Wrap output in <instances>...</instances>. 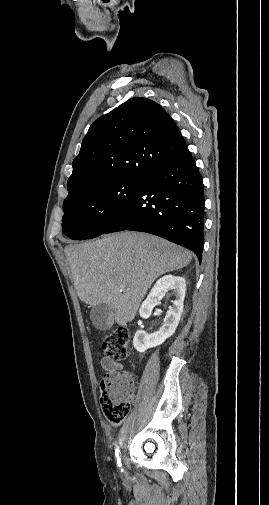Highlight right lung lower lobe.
Instances as JSON below:
<instances>
[{"label":"right lung lower lobe","mask_w":269,"mask_h":505,"mask_svg":"<svg viewBox=\"0 0 269 505\" xmlns=\"http://www.w3.org/2000/svg\"><path fill=\"white\" fill-rule=\"evenodd\" d=\"M204 185L188 148L141 179L137 193L104 232L151 233L193 251L202 260Z\"/></svg>","instance_id":"right-lung-lower-lobe-1"}]
</instances>
